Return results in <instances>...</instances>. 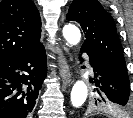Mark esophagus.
<instances>
[{
	"label": "esophagus",
	"mask_w": 133,
	"mask_h": 118,
	"mask_svg": "<svg viewBox=\"0 0 133 118\" xmlns=\"http://www.w3.org/2000/svg\"><path fill=\"white\" fill-rule=\"evenodd\" d=\"M57 54H58L57 62L59 66V73L61 79L65 85H69L71 83V74L69 71V66L67 64L66 58L61 48H57Z\"/></svg>",
	"instance_id": "34e87169"
}]
</instances>
